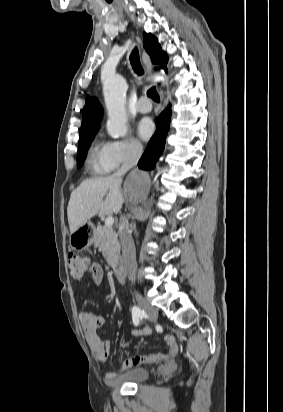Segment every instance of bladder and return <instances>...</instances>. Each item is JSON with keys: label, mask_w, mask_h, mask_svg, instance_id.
Masks as SVG:
<instances>
[{"label": "bladder", "mask_w": 283, "mask_h": 412, "mask_svg": "<svg viewBox=\"0 0 283 412\" xmlns=\"http://www.w3.org/2000/svg\"><path fill=\"white\" fill-rule=\"evenodd\" d=\"M149 376V370L145 367H135L122 373L109 376L108 382L112 385L139 384L145 382Z\"/></svg>", "instance_id": "bladder-1"}]
</instances>
